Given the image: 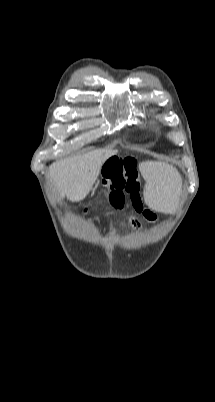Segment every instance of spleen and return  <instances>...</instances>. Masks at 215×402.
<instances>
[{"mask_svg": "<svg viewBox=\"0 0 215 402\" xmlns=\"http://www.w3.org/2000/svg\"><path fill=\"white\" fill-rule=\"evenodd\" d=\"M140 171L147 184L144 186L148 210L171 212L180 187V176L168 165L159 162L140 164Z\"/></svg>", "mask_w": 215, "mask_h": 402, "instance_id": "spleen-1", "label": "spleen"}]
</instances>
